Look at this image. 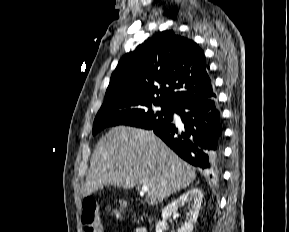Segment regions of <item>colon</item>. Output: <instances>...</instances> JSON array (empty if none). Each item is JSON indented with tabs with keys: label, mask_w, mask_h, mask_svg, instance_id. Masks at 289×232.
I'll use <instances>...</instances> for the list:
<instances>
[{
	"label": "colon",
	"mask_w": 289,
	"mask_h": 232,
	"mask_svg": "<svg viewBox=\"0 0 289 232\" xmlns=\"http://www.w3.org/2000/svg\"><path fill=\"white\" fill-rule=\"evenodd\" d=\"M98 201L94 197H87L82 204L81 221L84 232H102L99 223ZM116 216L121 215V211H113Z\"/></svg>",
	"instance_id": "5ec220e1"
}]
</instances>
